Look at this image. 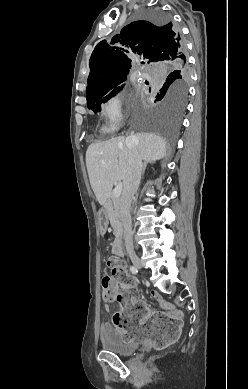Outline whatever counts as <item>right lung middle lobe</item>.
<instances>
[{"label": "right lung middle lobe", "mask_w": 248, "mask_h": 389, "mask_svg": "<svg viewBox=\"0 0 248 389\" xmlns=\"http://www.w3.org/2000/svg\"><path fill=\"white\" fill-rule=\"evenodd\" d=\"M148 22L165 25L171 23L170 17L161 10H148L143 13ZM126 78L115 80L109 87L102 88L87 97L88 108L95 113L101 110V103L106 102L116 93L118 85ZM189 70L188 65L174 61L161 67L156 77L154 101L158 102L156 109L150 113L139 111L138 119L142 127L162 136L169 146L175 143V131L185 112L188 96Z\"/></svg>", "instance_id": "1"}]
</instances>
